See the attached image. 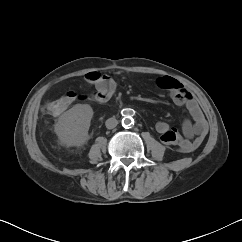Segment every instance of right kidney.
I'll use <instances>...</instances> for the list:
<instances>
[{
    "label": "right kidney",
    "instance_id": "right-kidney-1",
    "mask_svg": "<svg viewBox=\"0 0 242 242\" xmlns=\"http://www.w3.org/2000/svg\"><path fill=\"white\" fill-rule=\"evenodd\" d=\"M93 114V109L88 104H76L64 112L55 125V133L60 143L66 146L86 144Z\"/></svg>",
    "mask_w": 242,
    "mask_h": 242
}]
</instances>
